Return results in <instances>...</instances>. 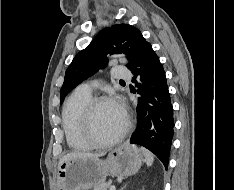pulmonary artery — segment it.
<instances>
[{
	"instance_id": "e3ab8cb5",
	"label": "pulmonary artery",
	"mask_w": 234,
	"mask_h": 190,
	"mask_svg": "<svg viewBox=\"0 0 234 190\" xmlns=\"http://www.w3.org/2000/svg\"><path fill=\"white\" fill-rule=\"evenodd\" d=\"M113 77L114 78H129L130 77L129 69L124 66H115L113 68ZM77 90L83 93L91 94L93 89H92L91 84L83 83L78 86Z\"/></svg>"
}]
</instances>
